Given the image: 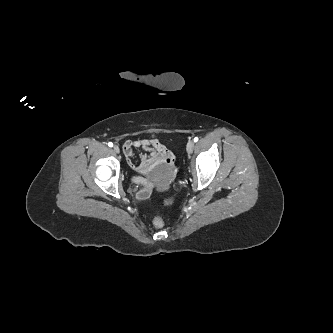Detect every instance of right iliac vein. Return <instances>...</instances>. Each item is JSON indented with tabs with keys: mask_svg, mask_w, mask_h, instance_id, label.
<instances>
[{
	"mask_svg": "<svg viewBox=\"0 0 333 333\" xmlns=\"http://www.w3.org/2000/svg\"><path fill=\"white\" fill-rule=\"evenodd\" d=\"M113 150H114L115 153H119L120 152L119 147L116 146V145L113 147Z\"/></svg>",
	"mask_w": 333,
	"mask_h": 333,
	"instance_id": "right-iliac-vein-1",
	"label": "right iliac vein"
}]
</instances>
